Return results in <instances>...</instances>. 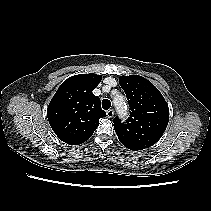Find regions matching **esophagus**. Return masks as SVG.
<instances>
[{"label": "esophagus", "instance_id": "34e87169", "mask_svg": "<svg viewBox=\"0 0 211 211\" xmlns=\"http://www.w3.org/2000/svg\"><path fill=\"white\" fill-rule=\"evenodd\" d=\"M107 117L108 118H112L114 116V110L113 109H109L106 111Z\"/></svg>", "mask_w": 211, "mask_h": 211}]
</instances>
